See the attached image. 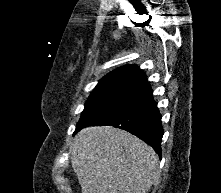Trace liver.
I'll return each instance as SVG.
<instances>
[{"instance_id":"obj_1","label":"liver","mask_w":221,"mask_h":193,"mask_svg":"<svg viewBox=\"0 0 221 193\" xmlns=\"http://www.w3.org/2000/svg\"><path fill=\"white\" fill-rule=\"evenodd\" d=\"M70 151L82 193H147L158 180L155 151L121 129L86 127L78 132Z\"/></svg>"}]
</instances>
